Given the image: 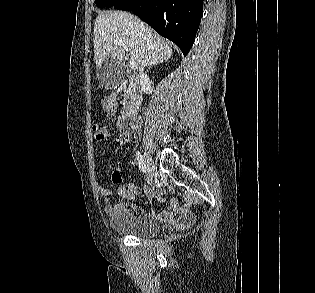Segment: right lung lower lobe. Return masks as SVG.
<instances>
[{"mask_svg":"<svg viewBox=\"0 0 315 293\" xmlns=\"http://www.w3.org/2000/svg\"><path fill=\"white\" fill-rule=\"evenodd\" d=\"M203 0H122L114 8L132 11L187 55L203 15Z\"/></svg>","mask_w":315,"mask_h":293,"instance_id":"obj_1","label":"right lung lower lobe"}]
</instances>
